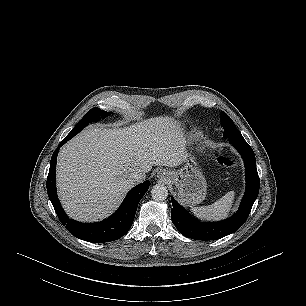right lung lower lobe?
I'll return each instance as SVG.
<instances>
[{
  "label": "right lung lower lobe",
  "mask_w": 306,
  "mask_h": 306,
  "mask_svg": "<svg viewBox=\"0 0 306 306\" xmlns=\"http://www.w3.org/2000/svg\"><path fill=\"white\" fill-rule=\"evenodd\" d=\"M71 138L65 137L54 151L47 177V193L60 222L75 237L93 243L110 242L119 239L130 229L139 201L149 188V182L135 186L124 199L119 209L108 219L96 223H81L69 219L64 212L56 193V162L59 148Z\"/></svg>",
  "instance_id": "right-lung-lower-lobe-1"
}]
</instances>
